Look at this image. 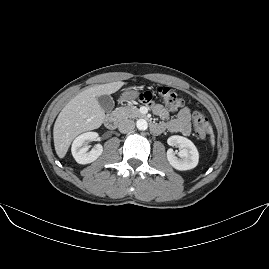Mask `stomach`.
<instances>
[{
	"mask_svg": "<svg viewBox=\"0 0 269 269\" xmlns=\"http://www.w3.org/2000/svg\"><path fill=\"white\" fill-rule=\"evenodd\" d=\"M136 94L134 92H127L122 96V100L134 98Z\"/></svg>",
	"mask_w": 269,
	"mask_h": 269,
	"instance_id": "0dacf381",
	"label": "stomach"
}]
</instances>
